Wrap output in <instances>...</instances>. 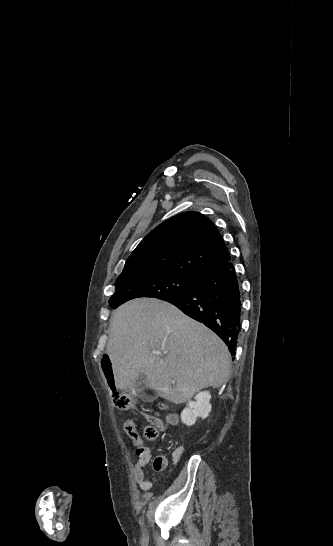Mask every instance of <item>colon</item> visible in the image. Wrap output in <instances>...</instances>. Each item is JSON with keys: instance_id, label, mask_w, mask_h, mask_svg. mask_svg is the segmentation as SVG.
<instances>
[{"instance_id": "5ec220e1", "label": "colon", "mask_w": 333, "mask_h": 546, "mask_svg": "<svg viewBox=\"0 0 333 546\" xmlns=\"http://www.w3.org/2000/svg\"><path fill=\"white\" fill-rule=\"evenodd\" d=\"M102 370L105 373V378L107 380V385L110 386V390H112L113 394V401L117 408L121 410H134L137 406V400L136 398L127 392H120L119 389H117V386L115 385V380L112 378V360L109 355H104L101 361ZM160 408H165V403L159 404ZM124 429L125 432L128 435H134L136 432L135 423L132 419H128L124 423ZM142 435L147 440H153L158 436V429L155 424H146L142 428Z\"/></svg>"}]
</instances>
